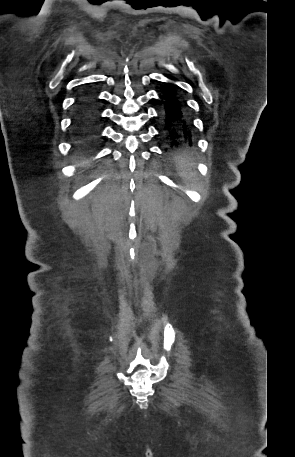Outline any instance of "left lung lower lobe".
Returning <instances> with one entry per match:
<instances>
[{
  "mask_svg": "<svg viewBox=\"0 0 295 457\" xmlns=\"http://www.w3.org/2000/svg\"><path fill=\"white\" fill-rule=\"evenodd\" d=\"M164 84L165 86L159 94V103L164 106L162 112L163 136L172 149L192 146L191 124L181 98L168 83Z\"/></svg>",
  "mask_w": 295,
  "mask_h": 457,
  "instance_id": "left-lung-lower-lobe-1",
  "label": "left lung lower lobe"
}]
</instances>
